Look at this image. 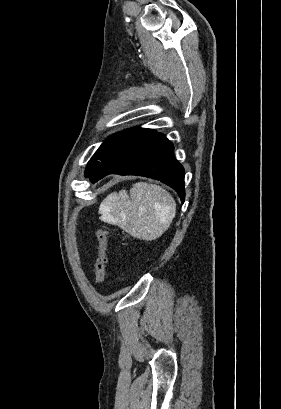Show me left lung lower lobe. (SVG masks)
I'll return each instance as SVG.
<instances>
[{
  "instance_id": "0a47b994",
  "label": "left lung lower lobe",
  "mask_w": 281,
  "mask_h": 409,
  "mask_svg": "<svg viewBox=\"0 0 281 409\" xmlns=\"http://www.w3.org/2000/svg\"><path fill=\"white\" fill-rule=\"evenodd\" d=\"M173 151L172 143L162 133L155 132L113 157L89 178L96 182L112 173L153 178L173 187L183 203L184 168L176 161Z\"/></svg>"
}]
</instances>
